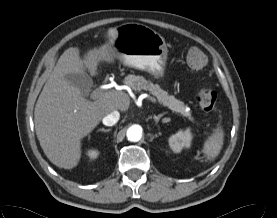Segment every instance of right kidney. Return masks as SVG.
<instances>
[{
  "instance_id": "1",
  "label": "right kidney",
  "mask_w": 277,
  "mask_h": 218,
  "mask_svg": "<svg viewBox=\"0 0 277 218\" xmlns=\"http://www.w3.org/2000/svg\"><path fill=\"white\" fill-rule=\"evenodd\" d=\"M99 152L96 149H91L87 152V156L91 159L94 160L98 157Z\"/></svg>"
}]
</instances>
